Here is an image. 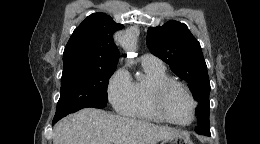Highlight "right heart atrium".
<instances>
[{
	"label": "right heart atrium",
	"instance_id": "right-heart-atrium-1",
	"mask_svg": "<svg viewBox=\"0 0 260 144\" xmlns=\"http://www.w3.org/2000/svg\"><path fill=\"white\" fill-rule=\"evenodd\" d=\"M107 96L117 112L126 114L132 100V82L125 68L116 70L109 79Z\"/></svg>",
	"mask_w": 260,
	"mask_h": 144
}]
</instances>
